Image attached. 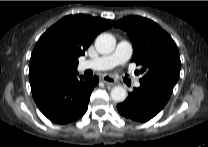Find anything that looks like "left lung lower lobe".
<instances>
[{
    "instance_id": "1",
    "label": "left lung lower lobe",
    "mask_w": 208,
    "mask_h": 147,
    "mask_svg": "<svg viewBox=\"0 0 208 147\" xmlns=\"http://www.w3.org/2000/svg\"><path fill=\"white\" fill-rule=\"evenodd\" d=\"M171 94L172 91L157 84L141 83L117 109L127 119L146 122L163 109Z\"/></svg>"
}]
</instances>
